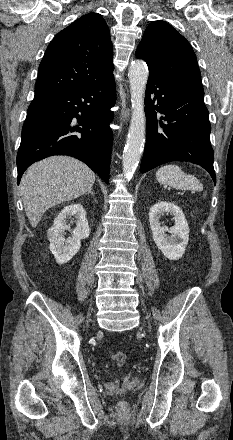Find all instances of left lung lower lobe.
I'll use <instances>...</instances> for the list:
<instances>
[{"instance_id": "1", "label": "left lung lower lobe", "mask_w": 233, "mask_h": 440, "mask_svg": "<svg viewBox=\"0 0 233 440\" xmlns=\"http://www.w3.org/2000/svg\"><path fill=\"white\" fill-rule=\"evenodd\" d=\"M154 103L156 105H154ZM165 115L157 123V112ZM147 137L140 172L171 161L201 165L216 184L211 126L204 104V91L148 78L145 95Z\"/></svg>"}]
</instances>
